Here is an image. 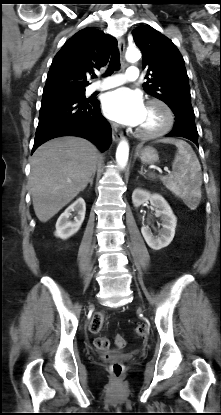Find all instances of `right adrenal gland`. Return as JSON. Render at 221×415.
Here are the masks:
<instances>
[{
	"instance_id": "right-adrenal-gland-1",
	"label": "right adrenal gland",
	"mask_w": 221,
	"mask_h": 415,
	"mask_svg": "<svg viewBox=\"0 0 221 415\" xmlns=\"http://www.w3.org/2000/svg\"><path fill=\"white\" fill-rule=\"evenodd\" d=\"M94 177H95V174H93V175L91 176V178L89 179V184H90V186H92V185H93V179H94Z\"/></svg>"
}]
</instances>
